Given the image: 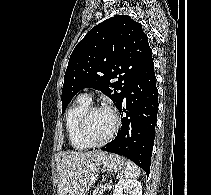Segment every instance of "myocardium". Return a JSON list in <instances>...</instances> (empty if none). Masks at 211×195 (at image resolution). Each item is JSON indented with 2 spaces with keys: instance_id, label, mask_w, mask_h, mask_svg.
Listing matches in <instances>:
<instances>
[{
  "instance_id": "myocardium-1",
  "label": "myocardium",
  "mask_w": 211,
  "mask_h": 195,
  "mask_svg": "<svg viewBox=\"0 0 211 195\" xmlns=\"http://www.w3.org/2000/svg\"><path fill=\"white\" fill-rule=\"evenodd\" d=\"M98 110H105L110 112L113 117H114V127L112 129V131L110 132V134L103 139L102 141L99 142H92L88 139L87 135H86V123L87 120L89 118V116ZM121 126V119L119 114L111 107L109 106H105V105H89L81 114L79 121H78V134L81 138V140L88 146V147H101L105 144H107L108 142H110L115 135L117 134L119 128Z\"/></svg>"
}]
</instances>
